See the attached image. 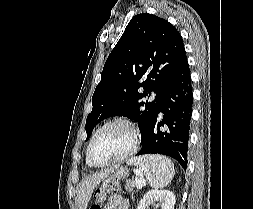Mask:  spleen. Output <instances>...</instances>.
Returning <instances> with one entry per match:
<instances>
[{
	"label": "spleen",
	"instance_id": "spleen-1",
	"mask_svg": "<svg viewBox=\"0 0 253 209\" xmlns=\"http://www.w3.org/2000/svg\"><path fill=\"white\" fill-rule=\"evenodd\" d=\"M127 164L134 165L146 177L152 188L166 187L175 174L172 161L161 155L131 158Z\"/></svg>",
	"mask_w": 253,
	"mask_h": 209
}]
</instances>
